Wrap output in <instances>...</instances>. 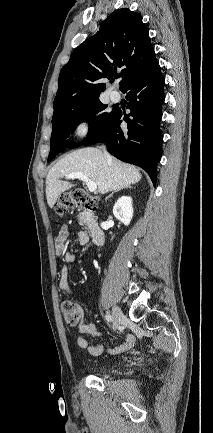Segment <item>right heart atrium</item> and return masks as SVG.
I'll list each match as a JSON object with an SVG mask.
<instances>
[{
    "mask_svg": "<svg viewBox=\"0 0 213 433\" xmlns=\"http://www.w3.org/2000/svg\"><path fill=\"white\" fill-rule=\"evenodd\" d=\"M90 124L87 120L81 121L75 129V132L78 136H84L89 132Z\"/></svg>",
    "mask_w": 213,
    "mask_h": 433,
    "instance_id": "obj_1",
    "label": "right heart atrium"
}]
</instances>
